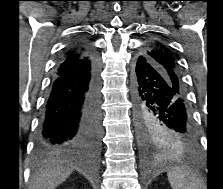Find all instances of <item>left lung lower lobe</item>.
I'll return each mask as SVG.
<instances>
[{"label":"left lung lower lobe","mask_w":223,"mask_h":189,"mask_svg":"<svg viewBox=\"0 0 223 189\" xmlns=\"http://www.w3.org/2000/svg\"><path fill=\"white\" fill-rule=\"evenodd\" d=\"M133 97L139 131L160 125L183 145L191 147L196 143L197 134L184 90L147 61L136 62Z\"/></svg>","instance_id":"0a47b994"}]
</instances>
